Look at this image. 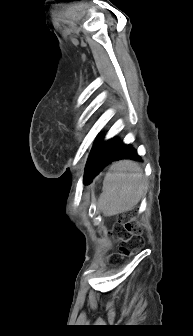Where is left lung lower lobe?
<instances>
[{"label":"left lung lower lobe","instance_id":"0a47b994","mask_svg":"<svg viewBox=\"0 0 193 336\" xmlns=\"http://www.w3.org/2000/svg\"><path fill=\"white\" fill-rule=\"evenodd\" d=\"M120 159L140 160L130 145H124L113 138L103 142V138L96 139L85 167L84 183L88 184L106 165Z\"/></svg>","mask_w":193,"mask_h":336}]
</instances>
